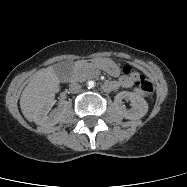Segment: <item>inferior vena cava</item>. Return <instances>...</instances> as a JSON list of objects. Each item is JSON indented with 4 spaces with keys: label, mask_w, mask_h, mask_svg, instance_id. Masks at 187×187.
I'll use <instances>...</instances> for the list:
<instances>
[{
    "label": "inferior vena cava",
    "mask_w": 187,
    "mask_h": 187,
    "mask_svg": "<svg viewBox=\"0 0 187 187\" xmlns=\"http://www.w3.org/2000/svg\"><path fill=\"white\" fill-rule=\"evenodd\" d=\"M69 90L71 93H78L82 90V87L79 83L74 82L69 85Z\"/></svg>",
    "instance_id": "1"
}]
</instances>
